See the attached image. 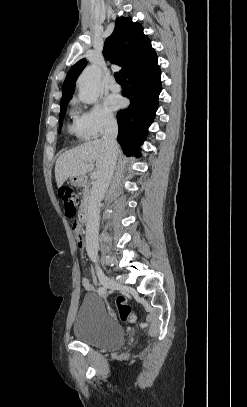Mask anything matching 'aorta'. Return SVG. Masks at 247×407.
<instances>
[{
    "label": "aorta",
    "instance_id": "obj_1",
    "mask_svg": "<svg viewBox=\"0 0 247 407\" xmlns=\"http://www.w3.org/2000/svg\"><path fill=\"white\" fill-rule=\"evenodd\" d=\"M79 99L87 104L97 101L101 88V70L97 66L87 67L78 78Z\"/></svg>",
    "mask_w": 247,
    "mask_h": 407
}]
</instances>
